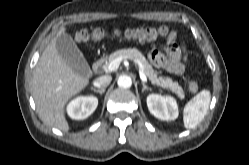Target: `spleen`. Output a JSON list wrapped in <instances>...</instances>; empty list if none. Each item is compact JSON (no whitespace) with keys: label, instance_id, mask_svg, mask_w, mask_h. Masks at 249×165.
I'll list each match as a JSON object with an SVG mask.
<instances>
[{"label":"spleen","instance_id":"spleen-1","mask_svg":"<svg viewBox=\"0 0 249 165\" xmlns=\"http://www.w3.org/2000/svg\"><path fill=\"white\" fill-rule=\"evenodd\" d=\"M210 100V91L202 90L185 105L183 117L185 128H195L203 120L208 110Z\"/></svg>","mask_w":249,"mask_h":165}]
</instances>
